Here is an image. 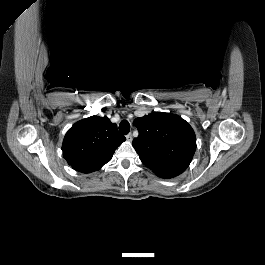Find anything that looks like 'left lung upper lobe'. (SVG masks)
<instances>
[{"label": "left lung upper lobe", "instance_id": "5c2ea615", "mask_svg": "<svg viewBox=\"0 0 265 265\" xmlns=\"http://www.w3.org/2000/svg\"><path fill=\"white\" fill-rule=\"evenodd\" d=\"M133 125L139 136L132 145L150 169L191 162L196 150L195 133L178 115L154 112L135 119Z\"/></svg>", "mask_w": 265, "mask_h": 265}]
</instances>
